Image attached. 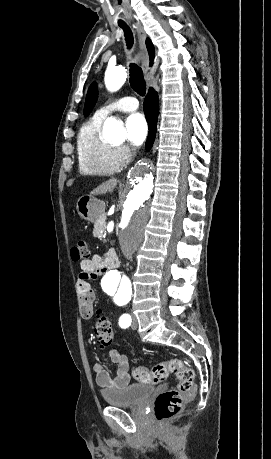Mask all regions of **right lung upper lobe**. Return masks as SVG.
<instances>
[{"label": "right lung upper lobe", "instance_id": "cb5924a9", "mask_svg": "<svg viewBox=\"0 0 271 459\" xmlns=\"http://www.w3.org/2000/svg\"><path fill=\"white\" fill-rule=\"evenodd\" d=\"M146 45H147V48H148V51H149V55H150V64H152V61H153V45L150 41L149 38L146 39Z\"/></svg>", "mask_w": 271, "mask_h": 459}]
</instances>
